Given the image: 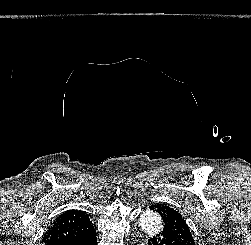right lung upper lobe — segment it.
<instances>
[{
    "label": "right lung upper lobe",
    "instance_id": "obj_1",
    "mask_svg": "<svg viewBox=\"0 0 251 245\" xmlns=\"http://www.w3.org/2000/svg\"><path fill=\"white\" fill-rule=\"evenodd\" d=\"M94 231L87 214L81 210H67L58 216L44 234L42 243L63 241L87 236Z\"/></svg>",
    "mask_w": 251,
    "mask_h": 245
}]
</instances>
